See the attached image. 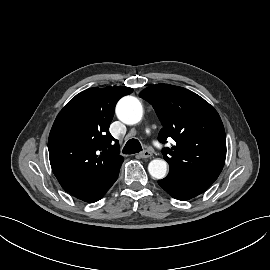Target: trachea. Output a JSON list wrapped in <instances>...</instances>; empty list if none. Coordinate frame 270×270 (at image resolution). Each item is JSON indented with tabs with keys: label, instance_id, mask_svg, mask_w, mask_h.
<instances>
[{
	"label": "trachea",
	"instance_id": "trachea-1",
	"mask_svg": "<svg viewBox=\"0 0 270 270\" xmlns=\"http://www.w3.org/2000/svg\"><path fill=\"white\" fill-rule=\"evenodd\" d=\"M142 151V146L137 139H130L123 148V153L134 154Z\"/></svg>",
	"mask_w": 270,
	"mask_h": 270
}]
</instances>
